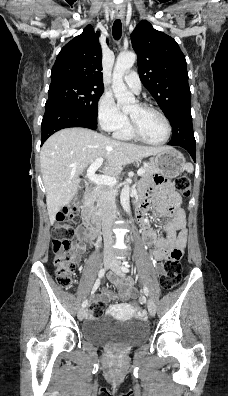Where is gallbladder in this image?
I'll return each instance as SVG.
<instances>
[{
	"label": "gallbladder",
	"instance_id": "bac80fb5",
	"mask_svg": "<svg viewBox=\"0 0 228 396\" xmlns=\"http://www.w3.org/2000/svg\"><path fill=\"white\" fill-rule=\"evenodd\" d=\"M83 188H84L83 185H80V186H79V189H80V190H83Z\"/></svg>",
	"mask_w": 228,
	"mask_h": 396
}]
</instances>
